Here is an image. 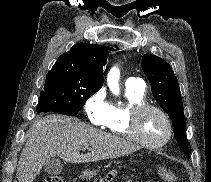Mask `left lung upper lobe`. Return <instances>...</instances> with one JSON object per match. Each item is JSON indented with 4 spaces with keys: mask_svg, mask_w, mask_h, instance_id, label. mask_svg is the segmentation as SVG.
I'll use <instances>...</instances> for the list:
<instances>
[{
    "mask_svg": "<svg viewBox=\"0 0 211 182\" xmlns=\"http://www.w3.org/2000/svg\"><path fill=\"white\" fill-rule=\"evenodd\" d=\"M141 65L155 100L172 120L174 137L179 148L190 158L182 97L172 67L162 58L151 54L143 55Z\"/></svg>",
    "mask_w": 211,
    "mask_h": 182,
    "instance_id": "5c2ea615",
    "label": "left lung upper lobe"
}]
</instances>
